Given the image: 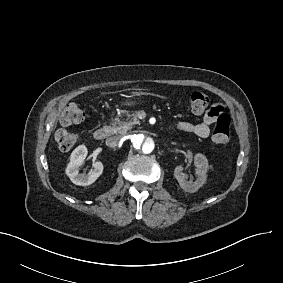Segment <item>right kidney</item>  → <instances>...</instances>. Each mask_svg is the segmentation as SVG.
Masks as SVG:
<instances>
[{"label":"right kidney","instance_id":"right-kidney-1","mask_svg":"<svg viewBox=\"0 0 283 283\" xmlns=\"http://www.w3.org/2000/svg\"><path fill=\"white\" fill-rule=\"evenodd\" d=\"M87 153L86 146L79 145L70 155V162L65 171L70 180L76 185H90L95 182L103 172V164L97 161L93 163V169H91L88 174L79 173V168L84 163Z\"/></svg>","mask_w":283,"mask_h":283}]
</instances>
